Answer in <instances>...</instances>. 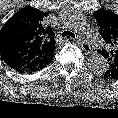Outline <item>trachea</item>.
Listing matches in <instances>:
<instances>
[{"label":"trachea","instance_id":"obj_1","mask_svg":"<svg viewBox=\"0 0 118 118\" xmlns=\"http://www.w3.org/2000/svg\"><path fill=\"white\" fill-rule=\"evenodd\" d=\"M72 37V38H75V34L74 33H72V32H70V31H64L63 33H62V37Z\"/></svg>","mask_w":118,"mask_h":118}]
</instances>
